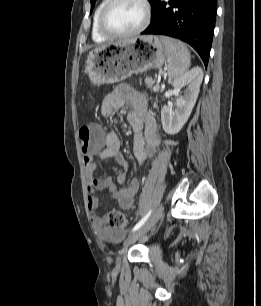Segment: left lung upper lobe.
<instances>
[{
  "label": "left lung upper lobe",
  "mask_w": 261,
  "mask_h": 306,
  "mask_svg": "<svg viewBox=\"0 0 261 306\" xmlns=\"http://www.w3.org/2000/svg\"><path fill=\"white\" fill-rule=\"evenodd\" d=\"M148 1L151 3L153 0H148ZM95 2H96V0H91V11H92V9L95 5Z\"/></svg>",
  "instance_id": "1"
}]
</instances>
